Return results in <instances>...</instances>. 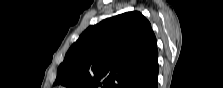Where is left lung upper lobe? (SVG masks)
<instances>
[{"instance_id": "left-lung-upper-lobe-1", "label": "left lung upper lobe", "mask_w": 223, "mask_h": 88, "mask_svg": "<svg viewBox=\"0 0 223 88\" xmlns=\"http://www.w3.org/2000/svg\"><path fill=\"white\" fill-rule=\"evenodd\" d=\"M157 58L149 21L140 12H127L88 27L58 67L54 85L129 88Z\"/></svg>"}]
</instances>
